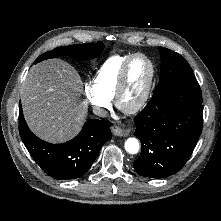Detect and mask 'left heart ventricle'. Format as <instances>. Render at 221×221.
I'll return each mask as SVG.
<instances>
[{
  "label": "left heart ventricle",
  "instance_id": "b2bd125f",
  "mask_svg": "<svg viewBox=\"0 0 221 221\" xmlns=\"http://www.w3.org/2000/svg\"><path fill=\"white\" fill-rule=\"evenodd\" d=\"M150 77V66L143 58H136L130 65L125 91L121 99L124 108L133 106L142 96Z\"/></svg>",
  "mask_w": 221,
  "mask_h": 221
}]
</instances>
